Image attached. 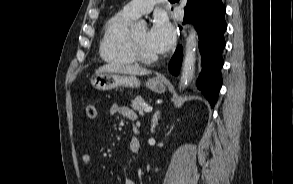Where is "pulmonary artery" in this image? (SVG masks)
<instances>
[{"label":"pulmonary artery","mask_w":293,"mask_h":184,"mask_svg":"<svg viewBox=\"0 0 293 184\" xmlns=\"http://www.w3.org/2000/svg\"><path fill=\"white\" fill-rule=\"evenodd\" d=\"M163 1L164 0H131L123 7L122 11L133 18H138L143 14L149 13L155 4Z\"/></svg>","instance_id":"e3ab8cb5"}]
</instances>
